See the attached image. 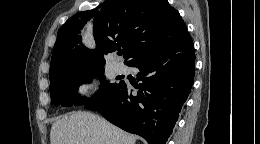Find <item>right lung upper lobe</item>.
I'll list each match as a JSON object with an SVG mask.
<instances>
[{
	"instance_id": "right-lung-upper-lobe-1",
	"label": "right lung upper lobe",
	"mask_w": 260,
	"mask_h": 144,
	"mask_svg": "<svg viewBox=\"0 0 260 144\" xmlns=\"http://www.w3.org/2000/svg\"><path fill=\"white\" fill-rule=\"evenodd\" d=\"M96 50L86 48L81 30L92 15ZM188 33L179 12L167 0H106L101 12H79L58 30L49 76L104 66L108 53L123 48L128 65L136 58L178 42Z\"/></svg>"
}]
</instances>
